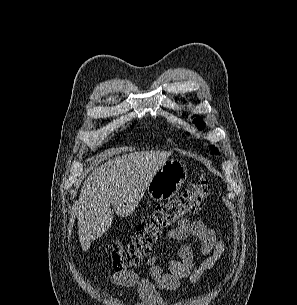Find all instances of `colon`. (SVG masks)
Instances as JSON below:
<instances>
[{
	"instance_id": "5ec220e1",
	"label": "colon",
	"mask_w": 297,
	"mask_h": 305,
	"mask_svg": "<svg viewBox=\"0 0 297 305\" xmlns=\"http://www.w3.org/2000/svg\"><path fill=\"white\" fill-rule=\"evenodd\" d=\"M209 190L208 180L204 176H198L192 186L180 196L157 205L153 213L138 224L129 243L112 245L110 255L113 269L125 271L139 266L166 229L200 211Z\"/></svg>"
}]
</instances>
